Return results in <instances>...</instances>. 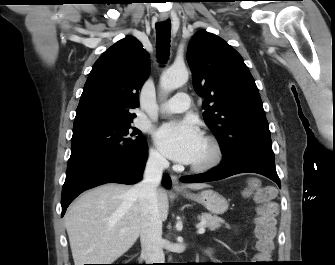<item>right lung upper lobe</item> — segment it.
I'll return each instance as SVG.
<instances>
[{
  "mask_svg": "<svg viewBox=\"0 0 335 265\" xmlns=\"http://www.w3.org/2000/svg\"><path fill=\"white\" fill-rule=\"evenodd\" d=\"M149 55L133 37L119 40L95 62L84 85L74 127L132 120L149 76Z\"/></svg>",
  "mask_w": 335,
  "mask_h": 265,
  "instance_id": "cb5924a9",
  "label": "right lung upper lobe"
}]
</instances>
